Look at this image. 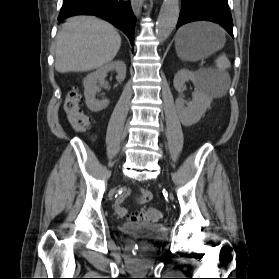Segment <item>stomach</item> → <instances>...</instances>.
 I'll return each instance as SVG.
<instances>
[{"label":"stomach","instance_id":"stomach-1","mask_svg":"<svg viewBox=\"0 0 279 279\" xmlns=\"http://www.w3.org/2000/svg\"><path fill=\"white\" fill-rule=\"evenodd\" d=\"M225 35L218 26L197 22L182 27L175 39L176 53L186 61L207 57L223 47Z\"/></svg>","mask_w":279,"mask_h":279}]
</instances>
